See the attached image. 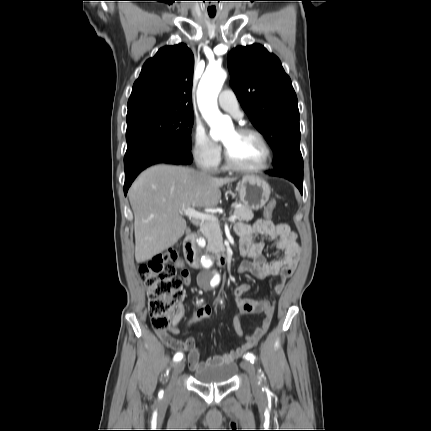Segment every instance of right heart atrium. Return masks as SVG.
<instances>
[{
    "label": "right heart atrium",
    "mask_w": 431,
    "mask_h": 431,
    "mask_svg": "<svg viewBox=\"0 0 431 431\" xmlns=\"http://www.w3.org/2000/svg\"><path fill=\"white\" fill-rule=\"evenodd\" d=\"M191 153L195 161L207 170H214L221 160V147L209 137L200 124H195L192 130Z\"/></svg>",
    "instance_id": "1"
}]
</instances>
